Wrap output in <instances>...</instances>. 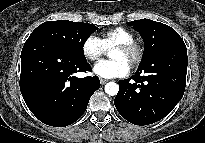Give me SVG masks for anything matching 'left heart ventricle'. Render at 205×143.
Wrapping results in <instances>:
<instances>
[{
    "label": "left heart ventricle",
    "instance_id": "left-heart-ventricle-1",
    "mask_svg": "<svg viewBox=\"0 0 205 143\" xmlns=\"http://www.w3.org/2000/svg\"><path fill=\"white\" fill-rule=\"evenodd\" d=\"M110 57L112 59H121V60H124L125 62H127L128 64L130 63V59H131V56L130 54L122 51V50H119V49H113L111 51V54H110Z\"/></svg>",
    "mask_w": 205,
    "mask_h": 143
}]
</instances>
